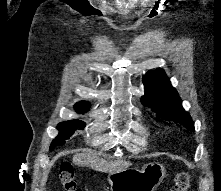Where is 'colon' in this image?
<instances>
[{
    "instance_id": "1",
    "label": "colon",
    "mask_w": 221,
    "mask_h": 191,
    "mask_svg": "<svg viewBox=\"0 0 221 191\" xmlns=\"http://www.w3.org/2000/svg\"><path fill=\"white\" fill-rule=\"evenodd\" d=\"M58 179L64 191H82L75 180L74 169L70 162H64L60 166ZM190 186V176L182 172L176 176L175 183L170 188V191H188Z\"/></svg>"
}]
</instances>
